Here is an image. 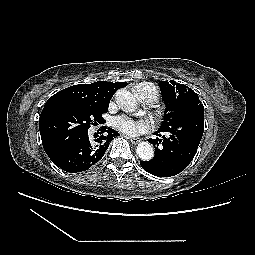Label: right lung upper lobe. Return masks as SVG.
<instances>
[{
	"label": "right lung upper lobe",
	"instance_id": "obj_1",
	"mask_svg": "<svg viewBox=\"0 0 255 255\" xmlns=\"http://www.w3.org/2000/svg\"><path fill=\"white\" fill-rule=\"evenodd\" d=\"M127 86L126 82H94L79 84L63 89L45 103L46 108L57 104L69 105H103L108 104L116 90Z\"/></svg>",
	"mask_w": 255,
	"mask_h": 255
}]
</instances>
